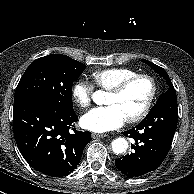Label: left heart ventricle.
I'll return each mask as SVG.
<instances>
[{
    "instance_id": "left-heart-ventricle-1",
    "label": "left heart ventricle",
    "mask_w": 194,
    "mask_h": 194,
    "mask_svg": "<svg viewBox=\"0 0 194 194\" xmlns=\"http://www.w3.org/2000/svg\"><path fill=\"white\" fill-rule=\"evenodd\" d=\"M151 92V85L146 79L131 83L120 95L108 94L107 105L116 106L125 119L137 115L145 106Z\"/></svg>"
}]
</instances>
